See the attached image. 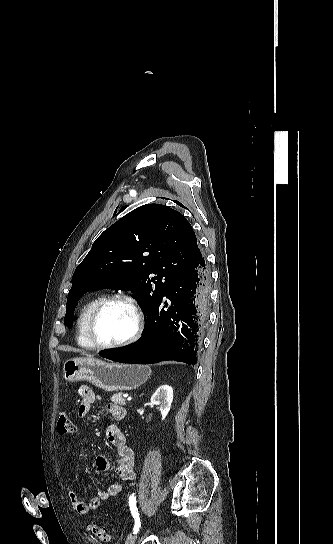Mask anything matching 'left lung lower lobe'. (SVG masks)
<instances>
[{
	"mask_svg": "<svg viewBox=\"0 0 333 544\" xmlns=\"http://www.w3.org/2000/svg\"><path fill=\"white\" fill-rule=\"evenodd\" d=\"M209 293L210 275L201 255L147 313V325L138 341L121 349L100 351L99 355L141 364L164 360L196 363L207 321Z\"/></svg>",
	"mask_w": 333,
	"mask_h": 544,
	"instance_id": "left-lung-lower-lobe-1",
	"label": "left lung lower lobe"
}]
</instances>
